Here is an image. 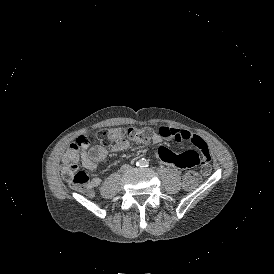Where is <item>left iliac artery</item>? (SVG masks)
<instances>
[{"mask_svg": "<svg viewBox=\"0 0 274 274\" xmlns=\"http://www.w3.org/2000/svg\"><path fill=\"white\" fill-rule=\"evenodd\" d=\"M148 166H149V162L145 161V167H148Z\"/></svg>", "mask_w": 274, "mask_h": 274, "instance_id": "left-iliac-artery-1", "label": "left iliac artery"}]
</instances>
